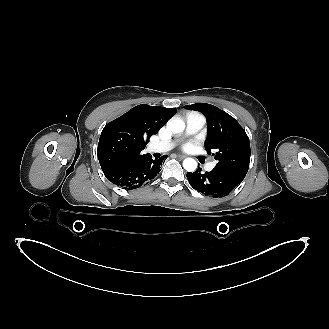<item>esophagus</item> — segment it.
I'll use <instances>...</instances> for the list:
<instances>
[{"instance_id":"obj_1","label":"esophagus","mask_w":329,"mask_h":329,"mask_svg":"<svg viewBox=\"0 0 329 329\" xmlns=\"http://www.w3.org/2000/svg\"><path fill=\"white\" fill-rule=\"evenodd\" d=\"M177 157L180 158V159H184L186 156L183 155V154H178Z\"/></svg>"}]
</instances>
